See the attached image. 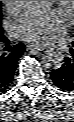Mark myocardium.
Segmentation results:
<instances>
[{"mask_svg":"<svg viewBox=\"0 0 74 122\" xmlns=\"http://www.w3.org/2000/svg\"><path fill=\"white\" fill-rule=\"evenodd\" d=\"M58 5L69 11L71 14L74 9V1H57Z\"/></svg>","mask_w":74,"mask_h":122,"instance_id":"1","label":"myocardium"}]
</instances>
